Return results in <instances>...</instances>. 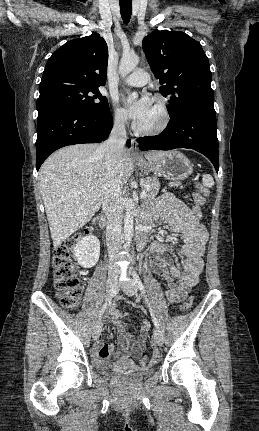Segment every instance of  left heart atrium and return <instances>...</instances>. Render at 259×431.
Returning a JSON list of instances; mask_svg holds the SVG:
<instances>
[{
    "mask_svg": "<svg viewBox=\"0 0 259 431\" xmlns=\"http://www.w3.org/2000/svg\"><path fill=\"white\" fill-rule=\"evenodd\" d=\"M151 105V99L147 95H141L134 101L126 102V111L132 120L139 123L146 117Z\"/></svg>",
    "mask_w": 259,
    "mask_h": 431,
    "instance_id": "39dd6f15",
    "label": "left heart atrium"
}]
</instances>
